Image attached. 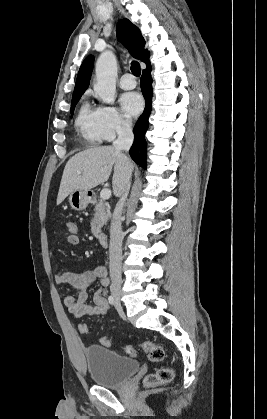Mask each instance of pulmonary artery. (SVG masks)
<instances>
[{
  "label": "pulmonary artery",
  "mask_w": 267,
  "mask_h": 419,
  "mask_svg": "<svg viewBox=\"0 0 267 419\" xmlns=\"http://www.w3.org/2000/svg\"><path fill=\"white\" fill-rule=\"evenodd\" d=\"M119 84L123 89H133L136 86V80L132 74L126 73L120 78Z\"/></svg>",
  "instance_id": "e3ab8cb5"
}]
</instances>
